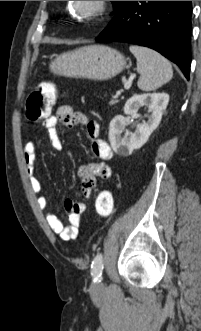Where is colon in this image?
<instances>
[{"mask_svg": "<svg viewBox=\"0 0 201 331\" xmlns=\"http://www.w3.org/2000/svg\"><path fill=\"white\" fill-rule=\"evenodd\" d=\"M55 102V88L50 83H45L33 90L27 97L25 113L29 120L40 121L50 116ZM114 201L109 191H101L96 198L95 210L97 215L108 218L112 215Z\"/></svg>", "mask_w": 201, "mask_h": 331, "instance_id": "colon-1", "label": "colon"}]
</instances>
